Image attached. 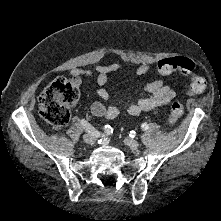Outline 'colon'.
<instances>
[{
    "label": "colon",
    "instance_id": "1",
    "mask_svg": "<svg viewBox=\"0 0 221 221\" xmlns=\"http://www.w3.org/2000/svg\"><path fill=\"white\" fill-rule=\"evenodd\" d=\"M194 62L182 56L162 59L157 63V71L161 75H169L174 72L189 75V93L197 95L206 88V80L198 74H194ZM79 89L65 78H59L50 83L39 97L40 116L54 129L63 128L70 119L71 107L79 99ZM183 114V106L174 103L171 106L169 125L175 124Z\"/></svg>",
    "mask_w": 221,
    "mask_h": 221
}]
</instances>
